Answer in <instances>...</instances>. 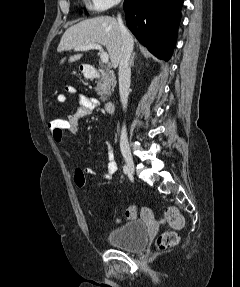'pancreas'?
<instances>
[{
	"label": "pancreas",
	"instance_id": "1",
	"mask_svg": "<svg viewBox=\"0 0 240 287\" xmlns=\"http://www.w3.org/2000/svg\"><path fill=\"white\" fill-rule=\"evenodd\" d=\"M100 77L98 79L95 91L100 96L101 101L105 102L116 85V77L113 72L100 69Z\"/></svg>",
	"mask_w": 240,
	"mask_h": 287
}]
</instances>
